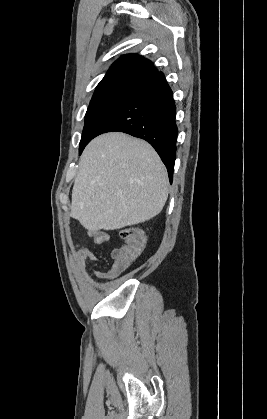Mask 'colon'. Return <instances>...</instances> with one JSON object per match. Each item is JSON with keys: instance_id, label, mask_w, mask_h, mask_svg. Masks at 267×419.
Wrapping results in <instances>:
<instances>
[{"instance_id": "colon-1", "label": "colon", "mask_w": 267, "mask_h": 419, "mask_svg": "<svg viewBox=\"0 0 267 419\" xmlns=\"http://www.w3.org/2000/svg\"><path fill=\"white\" fill-rule=\"evenodd\" d=\"M123 244L111 254L113 268L121 272L135 261L145 246V236L140 228L131 226L120 233Z\"/></svg>"}]
</instances>
